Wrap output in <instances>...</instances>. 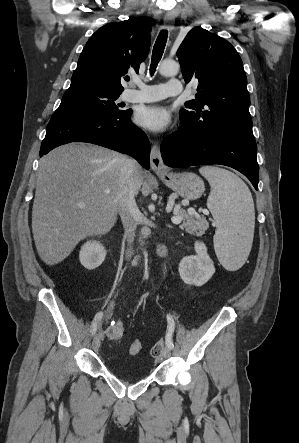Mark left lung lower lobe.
I'll use <instances>...</instances> for the list:
<instances>
[{
	"label": "left lung lower lobe",
	"instance_id": "obj_1",
	"mask_svg": "<svg viewBox=\"0 0 299 443\" xmlns=\"http://www.w3.org/2000/svg\"><path fill=\"white\" fill-rule=\"evenodd\" d=\"M257 146L253 134L223 132L204 134L187 128L161 143V156L170 167L221 164L244 174L258 190Z\"/></svg>",
	"mask_w": 299,
	"mask_h": 443
}]
</instances>
